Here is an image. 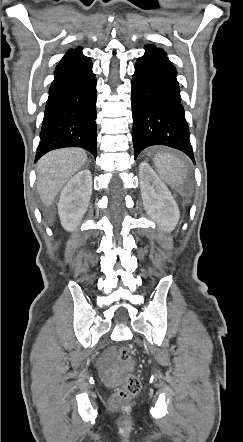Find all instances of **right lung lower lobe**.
<instances>
[{
  "label": "right lung lower lobe",
  "instance_id": "right-lung-lower-lobe-1",
  "mask_svg": "<svg viewBox=\"0 0 243 442\" xmlns=\"http://www.w3.org/2000/svg\"><path fill=\"white\" fill-rule=\"evenodd\" d=\"M96 77L81 50L66 54L49 89L40 132L37 161L63 147H81L96 157Z\"/></svg>",
  "mask_w": 243,
  "mask_h": 442
}]
</instances>
